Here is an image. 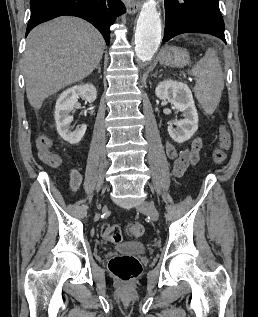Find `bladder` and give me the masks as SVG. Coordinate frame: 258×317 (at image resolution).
Segmentation results:
<instances>
[{
  "instance_id": "31cf9c89",
  "label": "bladder",
  "mask_w": 258,
  "mask_h": 317,
  "mask_svg": "<svg viewBox=\"0 0 258 317\" xmlns=\"http://www.w3.org/2000/svg\"><path fill=\"white\" fill-rule=\"evenodd\" d=\"M116 251L124 256H137L144 254L146 251L145 245L140 242H126L119 244Z\"/></svg>"
}]
</instances>
